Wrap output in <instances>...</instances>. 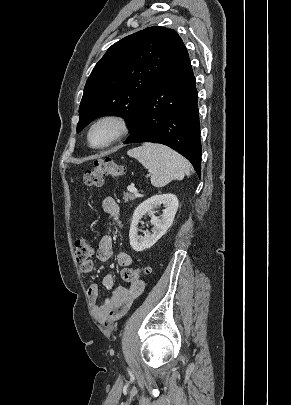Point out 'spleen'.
<instances>
[{
  "label": "spleen",
  "instance_id": "1",
  "mask_svg": "<svg viewBox=\"0 0 291 405\" xmlns=\"http://www.w3.org/2000/svg\"><path fill=\"white\" fill-rule=\"evenodd\" d=\"M151 172V183L163 187L172 180L190 175V165L181 155L161 144H144L128 151Z\"/></svg>",
  "mask_w": 291,
  "mask_h": 405
}]
</instances>
